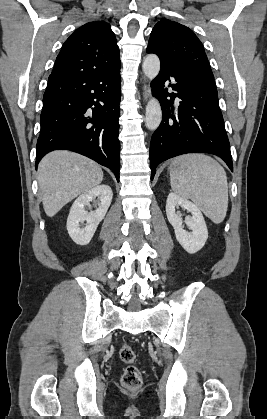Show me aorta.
I'll list each match as a JSON object with an SVG mask.
<instances>
[{"mask_svg":"<svg viewBox=\"0 0 267 419\" xmlns=\"http://www.w3.org/2000/svg\"><path fill=\"white\" fill-rule=\"evenodd\" d=\"M143 72L149 80H153L160 71V60L157 55L149 54L145 57ZM162 120V110L159 101L152 97L146 106V126L149 130H156Z\"/></svg>","mask_w":267,"mask_h":419,"instance_id":"762f6f07","label":"aorta"}]
</instances>
